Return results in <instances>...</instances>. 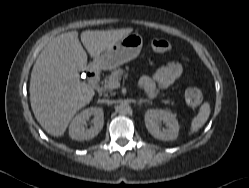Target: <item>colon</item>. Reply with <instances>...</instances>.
<instances>
[{"mask_svg": "<svg viewBox=\"0 0 249 188\" xmlns=\"http://www.w3.org/2000/svg\"><path fill=\"white\" fill-rule=\"evenodd\" d=\"M151 48L156 52H165L169 50L170 43L161 38L153 39L150 42ZM186 101L190 106L196 107L202 102V93L197 88H189L185 93Z\"/></svg>", "mask_w": 249, "mask_h": 188, "instance_id": "colon-1", "label": "colon"}]
</instances>
